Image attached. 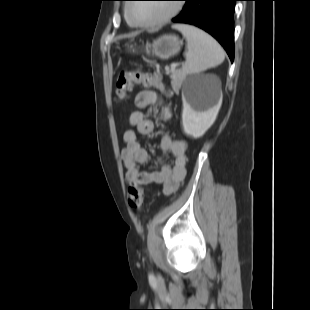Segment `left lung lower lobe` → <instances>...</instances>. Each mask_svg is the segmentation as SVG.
<instances>
[{"label":"left lung lower lobe","instance_id":"obj_1","mask_svg":"<svg viewBox=\"0 0 310 310\" xmlns=\"http://www.w3.org/2000/svg\"><path fill=\"white\" fill-rule=\"evenodd\" d=\"M186 1L174 23L190 24L212 35L234 60L235 2L239 0H183Z\"/></svg>","mask_w":310,"mask_h":310}]
</instances>
